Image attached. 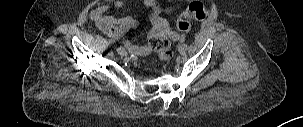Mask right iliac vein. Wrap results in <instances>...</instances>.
I'll use <instances>...</instances> for the list:
<instances>
[{
	"instance_id": "1",
	"label": "right iliac vein",
	"mask_w": 303,
	"mask_h": 127,
	"mask_svg": "<svg viewBox=\"0 0 303 127\" xmlns=\"http://www.w3.org/2000/svg\"><path fill=\"white\" fill-rule=\"evenodd\" d=\"M117 52H118L121 56H126V55H127V51H126L125 48L122 47V46H119V47L117 48Z\"/></svg>"
}]
</instances>
